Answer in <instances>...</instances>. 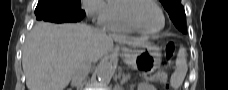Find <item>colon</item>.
<instances>
[{"instance_id": "1", "label": "colon", "mask_w": 228, "mask_h": 90, "mask_svg": "<svg viewBox=\"0 0 228 90\" xmlns=\"http://www.w3.org/2000/svg\"><path fill=\"white\" fill-rule=\"evenodd\" d=\"M176 51V45L174 42H169L166 47V55H167V64H170L172 57L174 56Z\"/></svg>"}]
</instances>
